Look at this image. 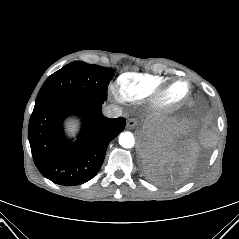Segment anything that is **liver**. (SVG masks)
<instances>
[{
	"label": "liver",
	"instance_id": "6515ba94",
	"mask_svg": "<svg viewBox=\"0 0 239 239\" xmlns=\"http://www.w3.org/2000/svg\"><path fill=\"white\" fill-rule=\"evenodd\" d=\"M66 124H67V130H68V131H74V130L76 129V122H75V121H73V120H68V121L66 122Z\"/></svg>",
	"mask_w": 239,
	"mask_h": 239
}]
</instances>
